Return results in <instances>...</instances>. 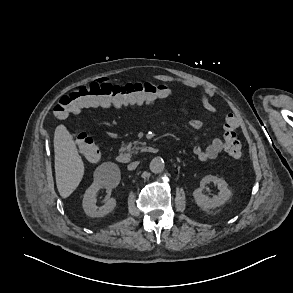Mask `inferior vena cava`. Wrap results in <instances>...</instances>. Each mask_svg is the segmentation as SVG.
<instances>
[{"mask_svg": "<svg viewBox=\"0 0 293 293\" xmlns=\"http://www.w3.org/2000/svg\"><path fill=\"white\" fill-rule=\"evenodd\" d=\"M138 164H139V162L138 161H136V162H132V163H130L129 165H128V170H135L136 169V167L138 166Z\"/></svg>", "mask_w": 293, "mask_h": 293, "instance_id": "inferior-vena-cava-1", "label": "inferior vena cava"}]
</instances>
